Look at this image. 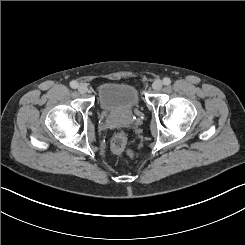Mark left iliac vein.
<instances>
[{"mask_svg":"<svg viewBox=\"0 0 245 245\" xmlns=\"http://www.w3.org/2000/svg\"><path fill=\"white\" fill-rule=\"evenodd\" d=\"M162 82L161 80H155L152 84V88L154 91H159L162 88Z\"/></svg>","mask_w":245,"mask_h":245,"instance_id":"4c4485c4","label":"left iliac vein"}]
</instances>
